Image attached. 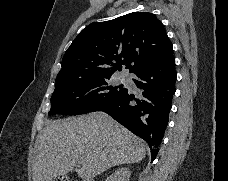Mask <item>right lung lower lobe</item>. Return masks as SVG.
<instances>
[{
  "label": "right lung lower lobe",
  "instance_id": "1",
  "mask_svg": "<svg viewBox=\"0 0 228 181\" xmlns=\"http://www.w3.org/2000/svg\"><path fill=\"white\" fill-rule=\"evenodd\" d=\"M133 73L138 90L126 88L123 96L102 111L144 139L153 160L159 151L175 93L177 73L173 48L147 61Z\"/></svg>",
  "mask_w": 228,
  "mask_h": 181
}]
</instances>
